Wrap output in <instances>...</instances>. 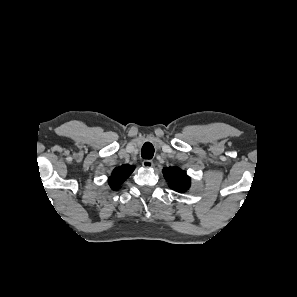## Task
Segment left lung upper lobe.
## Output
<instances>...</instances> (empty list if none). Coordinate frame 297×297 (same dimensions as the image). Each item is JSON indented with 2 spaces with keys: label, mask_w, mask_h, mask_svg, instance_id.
Masks as SVG:
<instances>
[{
  "label": "left lung upper lobe",
  "mask_w": 297,
  "mask_h": 297,
  "mask_svg": "<svg viewBox=\"0 0 297 297\" xmlns=\"http://www.w3.org/2000/svg\"><path fill=\"white\" fill-rule=\"evenodd\" d=\"M164 177L171 189L178 192H185L190 187V177L180 168H164Z\"/></svg>",
  "instance_id": "5c2ea615"
}]
</instances>
